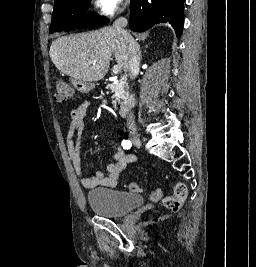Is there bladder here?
Wrapping results in <instances>:
<instances>
[{"mask_svg": "<svg viewBox=\"0 0 256 267\" xmlns=\"http://www.w3.org/2000/svg\"><path fill=\"white\" fill-rule=\"evenodd\" d=\"M141 195H128L113 189H96L87 194V202L99 216L121 217L143 204Z\"/></svg>", "mask_w": 256, "mask_h": 267, "instance_id": "obj_1", "label": "bladder"}]
</instances>
